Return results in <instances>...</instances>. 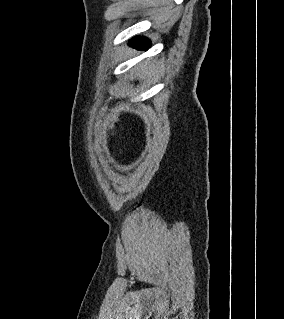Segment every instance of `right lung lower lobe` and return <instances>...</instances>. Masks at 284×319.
<instances>
[{
    "instance_id": "obj_1",
    "label": "right lung lower lobe",
    "mask_w": 284,
    "mask_h": 319,
    "mask_svg": "<svg viewBox=\"0 0 284 319\" xmlns=\"http://www.w3.org/2000/svg\"><path fill=\"white\" fill-rule=\"evenodd\" d=\"M131 46L140 49V50H147L150 43L148 42V40L146 38L143 37H137L134 38L131 42H130Z\"/></svg>"
}]
</instances>
